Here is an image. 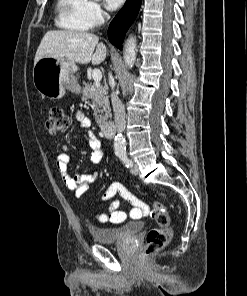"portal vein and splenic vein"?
<instances>
[{
	"label": "portal vein and splenic vein",
	"mask_w": 247,
	"mask_h": 296,
	"mask_svg": "<svg viewBox=\"0 0 247 296\" xmlns=\"http://www.w3.org/2000/svg\"><path fill=\"white\" fill-rule=\"evenodd\" d=\"M92 77L95 83H98L102 79V73L99 69H93L92 71Z\"/></svg>",
	"instance_id": "portal-vein-and-splenic-vein-1"
}]
</instances>
